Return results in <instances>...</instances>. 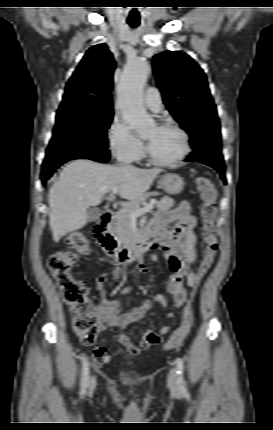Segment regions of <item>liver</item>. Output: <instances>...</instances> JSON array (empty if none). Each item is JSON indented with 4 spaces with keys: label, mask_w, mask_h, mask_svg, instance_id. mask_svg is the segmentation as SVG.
Here are the masks:
<instances>
[{
    "label": "liver",
    "mask_w": 273,
    "mask_h": 430,
    "mask_svg": "<svg viewBox=\"0 0 273 430\" xmlns=\"http://www.w3.org/2000/svg\"><path fill=\"white\" fill-rule=\"evenodd\" d=\"M162 169H140L132 165H106L87 159L70 162L50 188L49 224L58 242L66 234L83 228L88 221L87 209L102 202L103 196L119 186V196L131 202L139 199L152 185Z\"/></svg>",
    "instance_id": "liver-1"
}]
</instances>
